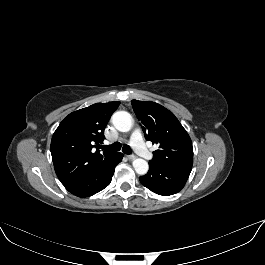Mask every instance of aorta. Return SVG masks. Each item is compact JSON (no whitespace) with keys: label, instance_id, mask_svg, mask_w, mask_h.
I'll list each match as a JSON object with an SVG mask.
<instances>
[{"label":"aorta","instance_id":"1","mask_svg":"<svg viewBox=\"0 0 265 265\" xmlns=\"http://www.w3.org/2000/svg\"><path fill=\"white\" fill-rule=\"evenodd\" d=\"M114 127L120 132H128L133 126L132 116L125 111H117L112 116ZM132 165L139 175H145L148 172L149 165L144 159L137 158L132 162Z\"/></svg>","mask_w":265,"mask_h":265}]
</instances>
